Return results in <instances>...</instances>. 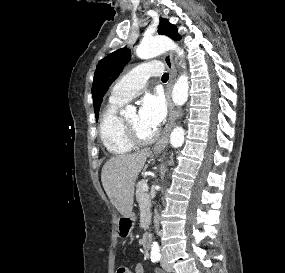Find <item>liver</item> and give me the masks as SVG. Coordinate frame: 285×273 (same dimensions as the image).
I'll list each match as a JSON object with an SVG mask.
<instances>
[{"instance_id":"6515ba94","label":"liver","mask_w":285,"mask_h":273,"mask_svg":"<svg viewBox=\"0 0 285 273\" xmlns=\"http://www.w3.org/2000/svg\"><path fill=\"white\" fill-rule=\"evenodd\" d=\"M149 149L111 157L103 166L101 181L111 203L123 217H131L134 185L149 156Z\"/></svg>"}]
</instances>
